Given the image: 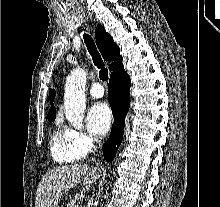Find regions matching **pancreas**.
<instances>
[{
  "instance_id": "1",
  "label": "pancreas",
  "mask_w": 220,
  "mask_h": 207,
  "mask_svg": "<svg viewBox=\"0 0 220 207\" xmlns=\"http://www.w3.org/2000/svg\"><path fill=\"white\" fill-rule=\"evenodd\" d=\"M76 205V202L74 199L70 198L69 203L67 204V207H74Z\"/></svg>"
}]
</instances>
